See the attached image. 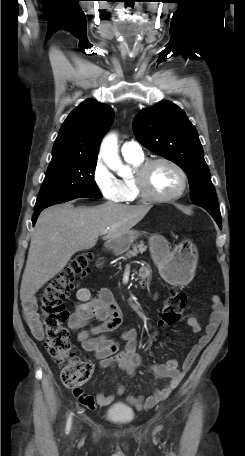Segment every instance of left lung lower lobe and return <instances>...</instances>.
<instances>
[{"instance_id":"1","label":"left lung lower lobe","mask_w":245,"mask_h":456,"mask_svg":"<svg viewBox=\"0 0 245 456\" xmlns=\"http://www.w3.org/2000/svg\"><path fill=\"white\" fill-rule=\"evenodd\" d=\"M214 219L218 223L219 227L221 228V218H214Z\"/></svg>"}]
</instances>
